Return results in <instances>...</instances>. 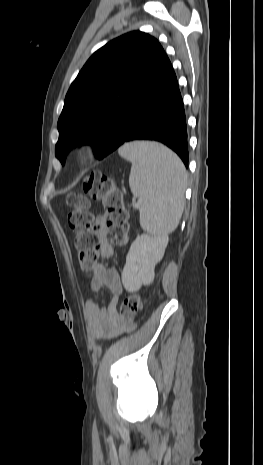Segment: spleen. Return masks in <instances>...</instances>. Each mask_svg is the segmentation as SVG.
<instances>
[{
	"instance_id": "spleen-1",
	"label": "spleen",
	"mask_w": 263,
	"mask_h": 465,
	"mask_svg": "<svg viewBox=\"0 0 263 465\" xmlns=\"http://www.w3.org/2000/svg\"><path fill=\"white\" fill-rule=\"evenodd\" d=\"M119 154L132 163L129 185L133 195L142 199V229L156 236L173 232L183 213L187 183L180 158L150 142L127 143Z\"/></svg>"
}]
</instances>
